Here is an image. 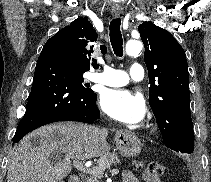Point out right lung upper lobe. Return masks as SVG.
<instances>
[{
	"label": "right lung upper lobe",
	"mask_w": 211,
	"mask_h": 182,
	"mask_svg": "<svg viewBox=\"0 0 211 182\" xmlns=\"http://www.w3.org/2000/svg\"><path fill=\"white\" fill-rule=\"evenodd\" d=\"M97 33L87 18H78L71 25L65 26L52 38L66 44L70 57L76 67L90 70L97 69L99 64L93 58V44L97 41ZM106 52V49H105Z\"/></svg>",
	"instance_id": "cb5924a9"
}]
</instances>
